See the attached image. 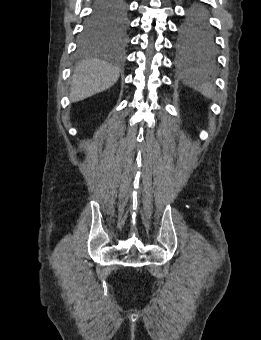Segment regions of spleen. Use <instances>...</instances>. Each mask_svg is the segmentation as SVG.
<instances>
[{
	"label": "spleen",
	"instance_id": "spleen-1",
	"mask_svg": "<svg viewBox=\"0 0 261 340\" xmlns=\"http://www.w3.org/2000/svg\"><path fill=\"white\" fill-rule=\"evenodd\" d=\"M186 83L198 90L205 98H213L215 92L214 87L211 83L203 81L202 75L198 70H190L187 72Z\"/></svg>",
	"mask_w": 261,
	"mask_h": 340
}]
</instances>
